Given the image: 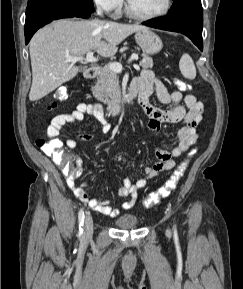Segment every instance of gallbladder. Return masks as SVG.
Segmentation results:
<instances>
[{"label": "gallbladder", "mask_w": 243, "mask_h": 289, "mask_svg": "<svg viewBox=\"0 0 243 289\" xmlns=\"http://www.w3.org/2000/svg\"><path fill=\"white\" fill-rule=\"evenodd\" d=\"M84 70V68L83 67H80V71H83Z\"/></svg>", "instance_id": "bac80fb5"}]
</instances>
